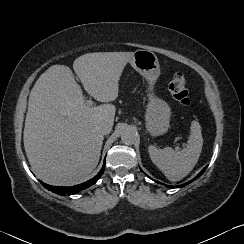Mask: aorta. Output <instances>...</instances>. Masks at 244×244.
Returning <instances> with one entry per match:
<instances>
[{
  "mask_svg": "<svg viewBox=\"0 0 244 244\" xmlns=\"http://www.w3.org/2000/svg\"><path fill=\"white\" fill-rule=\"evenodd\" d=\"M136 132L131 128H126L121 133V141L123 144L132 145L136 141Z\"/></svg>",
  "mask_w": 244,
  "mask_h": 244,
  "instance_id": "obj_1",
  "label": "aorta"
}]
</instances>
